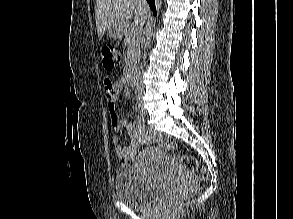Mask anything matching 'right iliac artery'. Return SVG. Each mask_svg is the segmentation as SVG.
Listing matches in <instances>:
<instances>
[{
	"instance_id": "1",
	"label": "right iliac artery",
	"mask_w": 293,
	"mask_h": 219,
	"mask_svg": "<svg viewBox=\"0 0 293 219\" xmlns=\"http://www.w3.org/2000/svg\"><path fill=\"white\" fill-rule=\"evenodd\" d=\"M137 120H138L139 123H142V124L145 123V119H144V117L142 115H138Z\"/></svg>"
}]
</instances>
